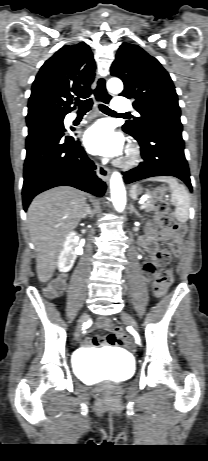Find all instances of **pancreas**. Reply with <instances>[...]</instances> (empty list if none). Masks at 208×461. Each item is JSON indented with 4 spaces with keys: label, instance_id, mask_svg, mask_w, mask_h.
<instances>
[{
    "label": "pancreas",
    "instance_id": "obj_1",
    "mask_svg": "<svg viewBox=\"0 0 208 461\" xmlns=\"http://www.w3.org/2000/svg\"><path fill=\"white\" fill-rule=\"evenodd\" d=\"M142 208L147 210H155L156 207L154 206V200L150 197L148 200V204Z\"/></svg>",
    "mask_w": 208,
    "mask_h": 461
}]
</instances>
